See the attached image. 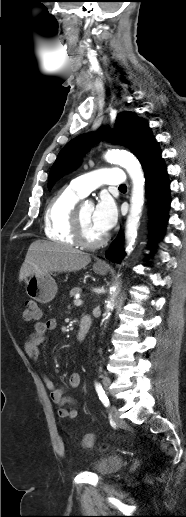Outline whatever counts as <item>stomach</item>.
I'll return each mask as SVG.
<instances>
[{"label": "stomach", "mask_w": 186, "mask_h": 517, "mask_svg": "<svg viewBox=\"0 0 186 517\" xmlns=\"http://www.w3.org/2000/svg\"><path fill=\"white\" fill-rule=\"evenodd\" d=\"M93 270L99 275H105L108 271V268L105 265H94ZM25 289L27 295L30 298L43 304L52 301L58 290L57 284L50 273H45L43 275H32L26 281Z\"/></svg>", "instance_id": "stomach-1"}]
</instances>
